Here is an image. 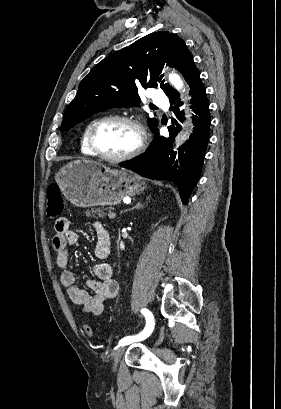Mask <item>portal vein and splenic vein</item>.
<instances>
[{"label":"portal vein and splenic vein","instance_id":"18ae733b","mask_svg":"<svg viewBox=\"0 0 281 409\" xmlns=\"http://www.w3.org/2000/svg\"><path fill=\"white\" fill-rule=\"evenodd\" d=\"M109 219H115L116 215L113 212H110L108 215Z\"/></svg>","mask_w":281,"mask_h":409}]
</instances>
